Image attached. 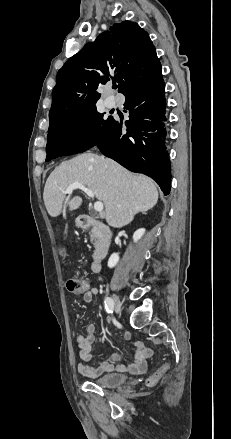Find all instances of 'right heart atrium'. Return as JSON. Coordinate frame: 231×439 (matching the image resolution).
Here are the masks:
<instances>
[{
  "mask_svg": "<svg viewBox=\"0 0 231 439\" xmlns=\"http://www.w3.org/2000/svg\"><path fill=\"white\" fill-rule=\"evenodd\" d=\"M87 133V129L85 127H82L77 130L76 135L77 137H82Z\"/></svg>",
  "mask_w": 231,
  "mask_h": 439,
  "instance_id": "right-heart-atrium-1",
  "label": "right heart atrium"
}]
</instances>
